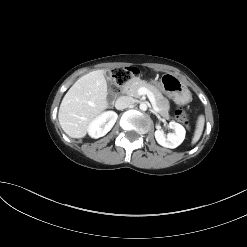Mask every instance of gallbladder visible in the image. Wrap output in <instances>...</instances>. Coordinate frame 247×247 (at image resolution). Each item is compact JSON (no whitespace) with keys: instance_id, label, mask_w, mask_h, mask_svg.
I'll use <instances>...</instances> for the list:
<instances>
[{"instance_id":"obj_1","label":"gallbladder","mask_w":247,"mask_h":247,"mask_svg":"<svg viewBox=\"0 0 247 247\" xmlns=\"http://www.w3.org/2000/svg\"><path fill=\"white\" fill-rule=\"evenodd\" d=\"M111 76H112L111 71H106V72H105V77H106L108 80L111 79Z\"/></svg>"}]
</instances>
